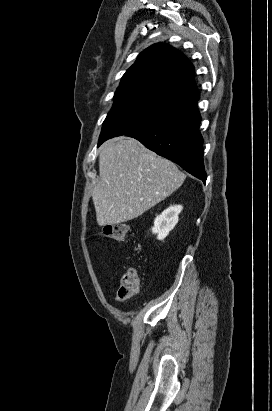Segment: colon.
Masks as SVG:
<instances>
[{
    "instance_id": "1",
    "label": "colon",
    "mask_w": 272,
    "mask_h": 411,
    "mask_svg": "<svg viewBox=\"0 0 272 411\" xmlns=\"http://www.w3.org/2000/svg\"><path fill=\"white\" fill-rule=\"evenodd\" d=\"M102 233L105 237L116 241H125L128 227L125 224H108L103 227ZM140 288V278L137 269L129 267L123 273L118 288V297L127 300L134 297Z\"/></svg>"
}]
</instances>
